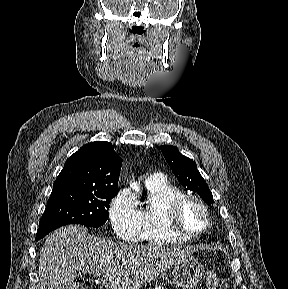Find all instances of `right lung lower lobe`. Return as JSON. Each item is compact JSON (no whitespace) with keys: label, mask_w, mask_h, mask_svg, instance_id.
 <instances>
[{"label":"right lung lower lobe","mask_w":288,"mask_h":289,"mask_svg":"<svg viewBox=\"0 0 288 289\" xmlns=\"http://www.w3.org/2000/svg\"><path fill=\"white\" fill-rule=\"evenodd\" d=\"M36 240H39V238H38V237H36Z\"/></svg>","instance_id":"1"}]
</instances>
